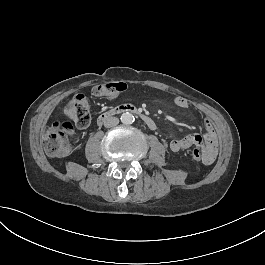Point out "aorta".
I'll return each mask as SVG.
<instances>
[{"label":"aorta","mask_w":265,"mask_h":265,"mask_svg":"<svg viewBox=\"0 0 265 265\" xmlns=\"http://www.w3.org/2000/svg\"><path fill=\"white\" fill-rule=\"evenodd\" d=\"M121 122L125 125H129L132 124L135 120L133 114H131L130 112H125L121 115Z\"/></svg>","instance_id":"1"}]
</instances>
